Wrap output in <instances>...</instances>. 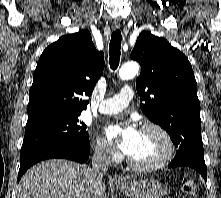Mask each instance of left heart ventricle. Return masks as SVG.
I'll use <instances>...</instances> for the list:
<instances>
[{
    "instance_id": "obj_1",
    "label": "left heart ventricle",
    "mask_w": 221,
    "mask_h": 198,
    "mask_svg": "<svg viewBox=\"0 0 221 198\" xmlns=\"http://www.w3.org/2000/svg\"><path fill=\"white\" fill-rule=\"evenodd\" d=\"M164 149V141L155 131H140L137 143L128 156L137 163L149 164L158 160Z\"/></svg>"
}]
</instances>
